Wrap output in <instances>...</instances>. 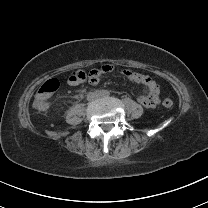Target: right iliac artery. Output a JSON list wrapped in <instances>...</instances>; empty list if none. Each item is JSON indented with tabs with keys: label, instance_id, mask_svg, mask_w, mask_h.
Returning <instances> with one entry per match:
<instances>
[{
	"label": "right iliac artery",
	"instance_id": "1",
	"mask_svg": "<svg viewBox=\"0 0 208 208\" xmlns=\"http://www.w3.org/2000/svg\"><path fill=\"white\" fill-rule=\"evenodd\" d=\"M100 95H104V92L101 91V92H100Z\"/></svg>",
	"mask_w": 208,
	"mask_h": 208
}]
</instances>
